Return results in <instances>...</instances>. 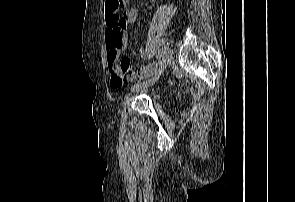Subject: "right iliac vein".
<instances>
[{
    "label": "right iliac vein",
    "instance_id": "obj_1",
    "mask_svg": "<svg viewBox=\"0 0 295 202\" xmlns=\"http://www.w3.org/2000/svg\"><path fill=\"white\" fill-rule=\"evenodd\" d=\"M168 60H169V49L167 46H165L162 51V62H161L159 69L154 73V75L151 78L143 81L142 83H138V84L134 85L131 88V92H136V91L140 90L141 88H147L149 86H152L154 83H156L158 81V79L160 78V76L165 71V69L167 67Z\"/></svg>",
    "mask_w": 295,
    "mask_h": 202
}]
</instances>
